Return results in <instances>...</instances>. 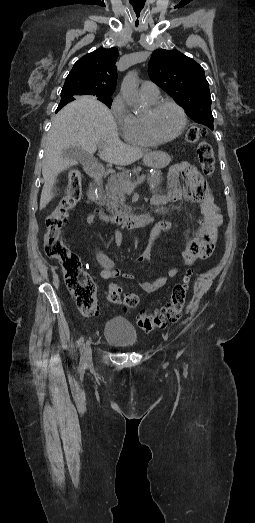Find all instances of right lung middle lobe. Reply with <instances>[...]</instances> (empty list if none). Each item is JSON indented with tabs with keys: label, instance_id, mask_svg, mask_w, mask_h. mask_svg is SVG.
Wrapping results in <instances>:
<instances>
[{
	"label": "right lung middle lobe",
	"instance_id": "right-lung-middle-lobe-1",
	"mask_svg": "<svg viewBox=\"0 0 255 523\" xmlns=\"http://www.w3.org/2000/svg\"><path fill=\"white\" fill-rule=\"evenodd\" d=\"M61 99H71V100H74V98L71 95H68V94L62 93V92H61ZM97 100L103 102L109 108H111V103H112L111 96L98 97Z\"/></svg>",
	"mask_w": 255,
	"mask_h": 523
}]
</instances>
